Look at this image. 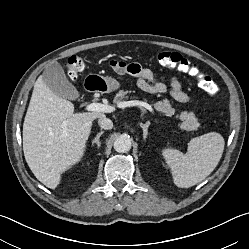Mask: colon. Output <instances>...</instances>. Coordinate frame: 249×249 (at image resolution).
I'll use <instances>...</instances> for the list:
<instances>
[{
    "mask_svg": "<svg viewBox=\"0 0 249 249\" xmlns=\"http://www.w3.org/2000/svg\"><path fill=\"white\" fill-rule=\"evenodd\" d=\"M157 62L169 68H175L180 72L187 73L198 80L200 88L207 94L213 95L217 86L214 80L207 74L200 71L199 67L187 59L183 58L179 53L172 51H159L155 54ZM112 68L118 71H124L127 64L123 61H112ZM66 68L71 78L76 79L85 69V61L77 55L68 58Z\"/></svg>",
    "mask_w": 249,
    "mask_h": 249,
    "instance_id": "colon-1",
    "label": "colon"
}]
</instances>
